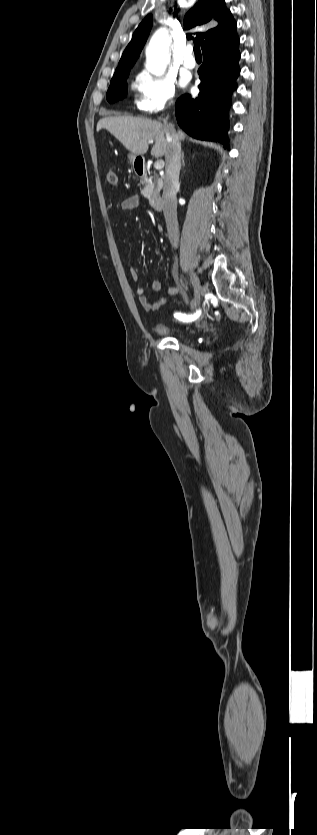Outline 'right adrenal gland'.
<instances>
[{"instance_id": "1", "label": "right adrenal gland", "mask_w": 317, "mask_h": 835, "mask_svg": "<svg viewBox=\"0 0 317 835\" xmlns=\"http://www.w3.org/2000/svg\"><path fill=\"white\" fill-rule=\"evenodd\" d=\"M182 165H183V167L185 166V162H184V154H183V153H182Z\"/></svg>"}]
</instances>
